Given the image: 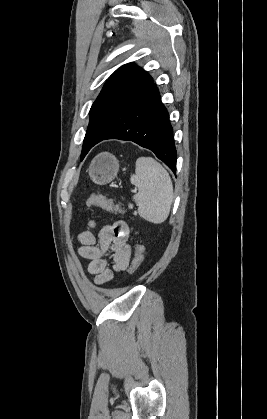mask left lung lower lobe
<instances>
[{
    "instance_id": "obj_1",
    "label": "left lung lower lobe",
    "mask_w": 267,
    "mask_h": 419,
    "mask_svg": "<svg viewBox=\"0 0 267 419\" xmlns=\"http://www.w3.org/2000/svg\"><path fill=\"white\" fill-rule=\"evenodd\" d=\"M111 123V131L92 142L85 154L103 140L133 141L153 151L174 173L176 172L177 152L173 128L153 81L137 94L131 105L113 113Z\"/></svg>"
}]
</instances>
